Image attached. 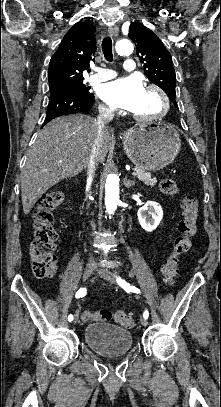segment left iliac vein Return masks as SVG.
<instances>
[{"instance_id": "obj_1", "label": "left iliac vein", "mask_w": 221, "mask_h": 407, "mask_svg": "<svg viewBox=\"0 0 221 407\" xmlns=\"http://www.w3.org/2000/svg\"><path fill=\"white\" fill-rule=\"evenodd\" d=\"M97 274L102 277L103 279H105L106 281L112 283V284H116L117 280H116V276L114 275V273L106 270V269H98L97 270ZM141 324L146 327L148 326V321L146 318L141 317L140 319Z\"/></svg>"}]
</instances>
